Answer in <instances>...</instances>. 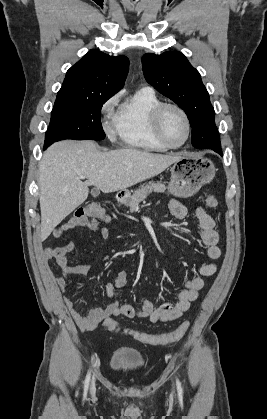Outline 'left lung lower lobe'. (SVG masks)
Masks as SVG:
<instances>
[{"label": "left lung lower lobe", "mask_w": 267, "mask_h": 419, "mask_svg": "<svg viewBox=\"0 0 267 419\" xmlns=\"http://www.w3.org/2000/svg\"><path fill=\"white\" fill-rule=\"evenodd\" d=\"M213 148V146H212V144L211 143H209L208 145H206V148L207 149H212ZM215 149H214V151H216V152H218V153H220L221 154V147H214Z\"/></svg>", "instance_id": "0a47b994"}]
</instances>
